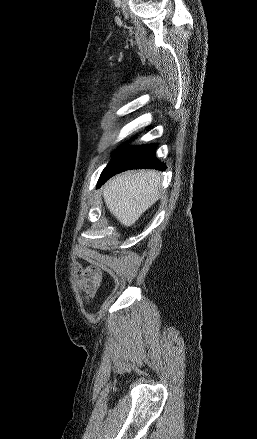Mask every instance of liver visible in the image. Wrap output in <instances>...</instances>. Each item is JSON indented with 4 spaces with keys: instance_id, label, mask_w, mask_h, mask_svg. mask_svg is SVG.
<instances>
[{
    "instance_id": "6515ba94",
    "label": "liver",
    "mask_w": 257,
    "mask_h": 439,
    "mask_svg": "<svg viewBox=\"0 0 257 439\" xmlns=\"http://www.w3.org/2000/svg\"><path fill=\"white\" fill-rule=\"evenodd\" d=\"M160 173L128 171L110 179L103 189L107 208L124 226H132L160 197Z\"/></svg>"
}]
</instances>
